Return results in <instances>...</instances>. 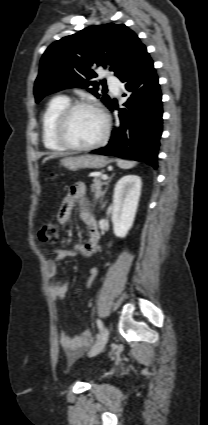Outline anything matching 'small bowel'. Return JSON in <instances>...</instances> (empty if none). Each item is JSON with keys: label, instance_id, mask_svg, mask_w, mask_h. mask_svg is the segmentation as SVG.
<instances>
[{"label": "small bowel", "instance_id": "small-bowel-1", "mask_svg": "<svg viewBox=\"0 0 208 425\" xmlns=\"http://www.w3.org/2000/svg\"><path fill=\"white\" fill-rule=\"evenodd\" d=\"M86 186L79 182L72 185L68 194L63 200L58 220L61 224H66L72 215L76 203H80V219L88 228V240L85 243H77L72 249L62 248L56 251V257L47 263V274L49 278V293L55 300H63L68 292L69 285L58 279V263L69 257H90L97 251V245L100 238L97 221L89 209V205L84 200ZM91 337L89 332L85 331L77 337H71L65 332L60 335V344L66 355L71 358H77L82 351L90 344Z\"/></svg>", "mask_w": 208, "mask_h": 425}]
</instances>
